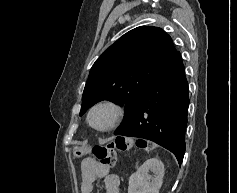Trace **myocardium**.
<instances>
[{
  "instance_id": "obj_1",
  "label": "myocardium",
  "mask_w": 237,
  "mask_h": 193,
  "mask_svg": "<svg viewBox=\"0 0 237 193\" xmlns=\"http://www.w3.org/2000/svg\"><path fill=\"white\" fill-rule=\"evenodd\" d=\"M100 109H106L111 113V119L103 127L95 126L92 122L94 113ZM124 117V111L119 104L111 100H102L95 103L88 111L87 121L92 129L98 132H108L120 125Z\"/></svg>"
}]
</instances>
